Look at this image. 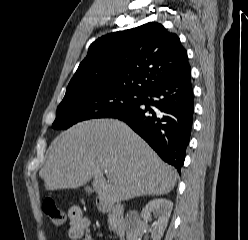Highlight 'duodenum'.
Segmentation results:
<instances>
[{"instance_id":"410a0bca","label":"duodenum","mask_w":248,"mask_h":240,"mask_svg":"<svg viewBox=\"0 0 248 240\" xmlns=\"http://www.w3.org/2000/svg\"><path fill=\"white\" fill-rule=\"evenodd\" d=\"M100 210L108 213L111 218V225L120 240H125L127 225L124 220V206L120 203L101 202Z\"/></svg>"}]
</instances>
